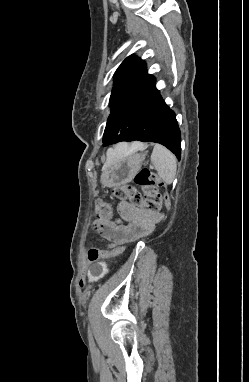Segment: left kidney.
Returning a JSON list of instances; mask_svg holds the SVG:
<instances>
[{"label": "left kidney", "mask_w": 249, "mask_h": 382, "mask_svg": "<svg viewBox=\"0 0 249 382\" xmlns=\"http://www.w3.org/2000/svg\"><path fill=\"white\" fill-rule=\"evenodd\" d=\"M100 264L102 266L103 265L105 266L107 263L105 261L104 262L102 261ZM88 276L93 277L91 280L93 284H101L104 281L103 278L101 277L105 276V271L104 270H89Z\"/></svg>", "instance_id": "left-kidney-1"}]
</instances>
